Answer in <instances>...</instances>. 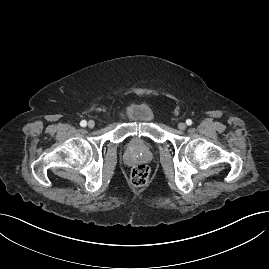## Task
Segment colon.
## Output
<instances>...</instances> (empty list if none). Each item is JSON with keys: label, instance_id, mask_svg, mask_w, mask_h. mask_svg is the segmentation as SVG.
I'll return each instance as SVG.
<instances>
[{"label": "colon", "instance_id": "colon-1", "mask_svg": "<svg viewBox=\"0 0 269 269\" xmlns=\"http://www.w3.org/2000/svg\"><path fill=\"white\" fill-rule=\"evenodd\" d=\"M150 177V168L145 164L134 166L130 173V182L135 187H142L147 184Z\"/></svg>", "mask_w": 269, "mask_h": 269}]
</instances>
